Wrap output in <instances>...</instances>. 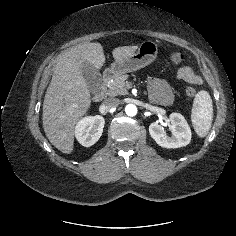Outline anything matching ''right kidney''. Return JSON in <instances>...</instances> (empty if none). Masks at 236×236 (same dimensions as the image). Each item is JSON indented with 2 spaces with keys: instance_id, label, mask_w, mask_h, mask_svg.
Returning a JSON list of instances; mask_svg holds the SVG:
<instances>
[{
  "instance_id": "right-kidney-1",
  "label": "right kidney",
  "mask_w": 236,
  "mask_h": 236,
  "mask_svg": "<svg viewBox=\"0 0 236 236\" xmlns=\"http://www.w3.org/2000/svg\"><path fill=\"white\" fill-rule=\"evenodd\" d=\"M105 120L102 116H88L81 119L75 128V136L85 147L95 144L102 135Z\"/></svg>"
}]
</instances>
